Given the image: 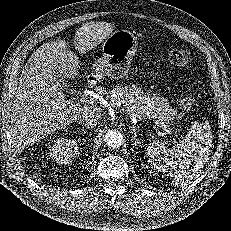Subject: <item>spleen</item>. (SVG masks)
I'll list each match as a JSON object with an SVG mask.
<instances>
[{
	"label": "spleen",
	"instance_id": "spleen-1",
	"mask_svg": "<svg viewBox=\"0 0 231 231\" xmlns=\"http://www.w3.org/2000/svg\"><path fill=\"white\" fill-rule=\"evenodd\" d=\"M212 133L208 123H195L191 131L172 148L162 143L148 147V162L162 172H169L176 184L185 185L203 168L210 155Z\"/></svg>",
	"mask_w": 231,
	"mask_h": 231
}]
</instances>
